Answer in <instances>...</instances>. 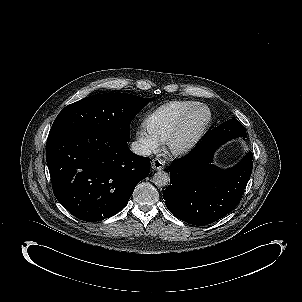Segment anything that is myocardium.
<instances>
[{"mask_svg":"<svg viewBox=\"0 0 302 302\" xmlns=\"http://www.w3.org/2000/svg\"><path fill=\"white\" fill-rule=\"evenodd\" d=\"M198 111H204L206 113V118L202 126L196 131V133L188 139L182 145L175 146L173 144V140L179 130L182 128L186 120L191 117L193 114L197 113ZM212 120V115L210 109L203 104H197L192 109L184 113L176 125L171 129L165 139V148L167 152L173 156H181L187 152H189L192 148L196 146V144L200 141V139L206 133L208 127L210 126Z\"/></svg>","mask_w":302,"mask_h":302,"instance_id":"1","label":"myocardium"}]
</instances>
